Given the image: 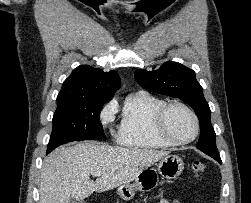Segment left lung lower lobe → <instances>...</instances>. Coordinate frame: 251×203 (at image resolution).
Instances as JSON below:
<instances>
[{
	"instance_id": "1",
	"label": "left lung lower lobe",
	"mask_w": 251,
	"mask_h": 203,
	"mask_svg": "<svg viewBox=\"0 0 251 203\" xmlns=\"http://www.w3.org/2000/svg\"><path fill=\"white\" fill-rule=\"evenodd\" d=\"M214 159L217 160L219 163H221L220 157H215Z\"/></svg>"
}]
</instances>
